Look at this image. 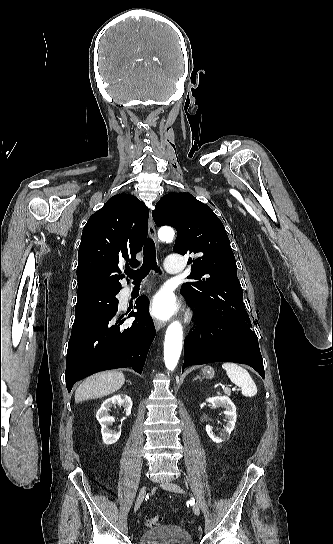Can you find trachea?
<instances>
[{
    "label": "trachea",
    "mask_w": 333,
    "mask_h": 544,
    "mask_svg": "<svg viewBox=\"0 0 333 544\" xmlns=\"http://www.w3.org/2000/svg\"><path fill=\"white\" fill-rule=\"evenodd\" d=\"M143 254V264L139 269L125 271L126 275L133 279L134 282H140L149 274L150 270H157L155 244L152 239L146 241Z\"/></svg>",
    "instance_id": "obj_1"
}]
</instances>
